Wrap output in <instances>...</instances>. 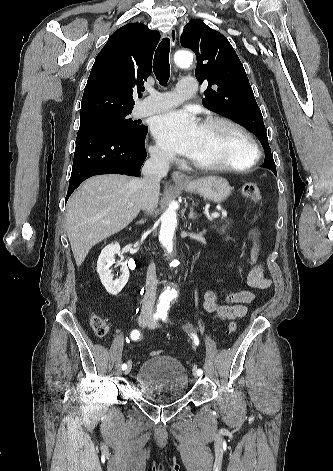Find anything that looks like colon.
Wrapping results in <instances>:
<instances>
[{
  "label": "colon",
  "instance_id": "colon-1",
  "mask_svg": "<svg viewBox=\"0 0 333 471\" xmlns=\"http://www.w3.org/2000/svg\"><path fill=\"white\" fill-rule=\"evenodd\" d=\"M242 194L245 198L257 203V204H260L261 201H262V196H261V191L259 189V187L257 186V184L255 183H246L243 185L242 187ZM91 326L95 332V334L99 337V338H103L106 336V334L108 333L109 331V326L106 322L105 319H103L102 317L98 316V315H94L92 318H91ZM228 330L229 332H235L237 330V324L235 322H230L229 325H228ZM152 356H157V355H161V351H152L150 353Z\"/></svg>",
  "mask_w": 333,
  "mask_h": 471
}]
</instances>
